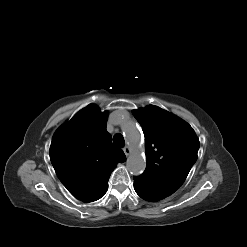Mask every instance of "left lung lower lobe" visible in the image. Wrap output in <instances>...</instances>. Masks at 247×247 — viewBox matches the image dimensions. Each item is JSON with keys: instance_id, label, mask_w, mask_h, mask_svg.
Instances as JSON below:
<instances>
[{"instance_id": "1", "label": "left lung lower lobe", "mask_w": 247, "mask_h": 247, "mask_svg": "<svg viewBox=\"0 0 247 247\" xmlns=\"http://www.w3.org/2000/svg\"><path fill=\"white\" fill-rule=\"evenodd\" d=\"M134 189L136 193L143 198L144 200L150 202H156L161 199H164L165 195L155 191L151 187H149L142 179L139 177H134Z\"/></svg>"}]
</instances>
